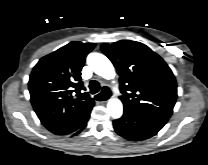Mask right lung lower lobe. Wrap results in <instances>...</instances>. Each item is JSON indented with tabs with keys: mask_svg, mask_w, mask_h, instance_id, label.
Wrapping results in <instances>:
<instances>
[{
	"mask_svg": "<svg viewBox=\"0 0 208 165\" xmlns=\"http://www.w3.org/2000/svg\"><path fill=\"white\" fill-rule=\"evenodd\" d=\"M89 116L86 118V120L84 121V123L82 124V126L78 130H76L75 132L70 134L71 136H75V135L79 134L86 127V123H87V121L89 119Z\"/></svg>",
	"mask_w": 208,
	"mask_h": 165,
	"instance_id": "98d812e1",
	"label": "right lung lower lobe"
}]
</instances>
